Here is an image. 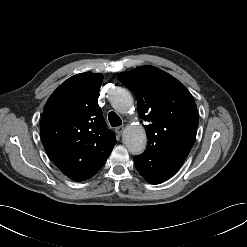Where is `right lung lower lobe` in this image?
Masks as SVG:
<instances>
[{"label":"right lung lower lobe","instance_id":"1","mask_svg":"<svg viewBox=\"0 0 247 247\" xmlns=\"http://www.w3.org/2000/svg\"><path fill=\"white\" fill-rule=\"evenodd\" d=\"M103 164L99 165L98 167H96L95 169L91 170L90 172H87V173H85L83 175H80V176H77L75 178H72V180L83 181V180H86V179L92 177L93 175H95L100 170V168L102 167Z\"/></svg>","mask_w":247,"mask_h":247}]
</instances>
